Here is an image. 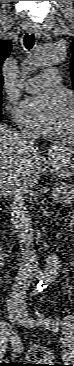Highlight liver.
Wrapping results in <instances>:
<instances>
[{
  "label": "liver",
  "instance_id": "1",
  "mask_svg": "<svg viewBox=\"0 0 74 366\" xmlns=\"http://www.w3.org/2000/svg\"><path fill=\"white\" fill-rule=\"evenodd\" d=\"M37 148L20 144V133L0 126V194L11 196L15 184L35 186L44 172Z\"/></svg>",
  "mask_w": 74,
  "mask_h": 366
}]
</instances>
